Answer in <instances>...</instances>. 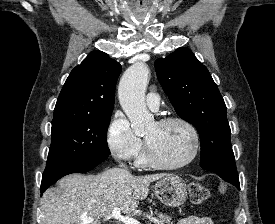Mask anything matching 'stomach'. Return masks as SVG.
Instances as JSON below:
<instances>
[{
  "label": "stomach",
  "instance_id": "0dacf381",
  "mask_svg": "<svg viewBox=\"0 0 275 224\" xmlns=\"http://www.w3.org/2000/svg\"><path fill=\"white\" fill-rule=\"evenodd\" d=\"M156 197L168 207H179L187 199V184L177 175H167L153 186Z\"/></svg>",
  "mask_w": 275,
  "mask_h": 224
}]
</instances>
